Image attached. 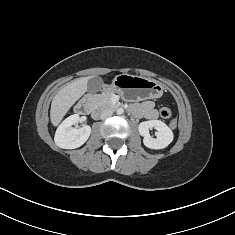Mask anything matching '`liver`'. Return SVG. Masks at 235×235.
I'll return each instance as SVG.
<instances>
[{"label": "liver", "mask_w": 235, "mask_h": 235, "mask_svg": "<svg viewBox=\"0 0 235 235\" xmlns=\"http://www.w3.org/2000/svg\"><path fill=\"white\" fill-rule=\"evenodd\" d=\"M91 77L75 79L62 87L51 102L50 119L54 126H58L69 109L87 91V84Z\"/></svg>", "instance_id": "1"}]
</instances>
